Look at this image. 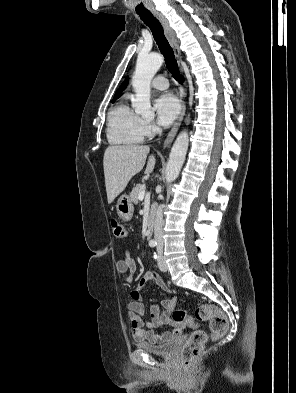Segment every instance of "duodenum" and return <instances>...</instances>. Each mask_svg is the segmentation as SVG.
<instances>
[{
  "mask_svg": "<svg viewBox=\"0 0 296 393\" xmlns=\"http://www.w3.org/2000/svg\"><path fill=\"white\" fill-rule=\"evenodd\" d=\"M154 215H155V207H152L149 212V220H148V228H147V237L150 238L153 235L154 231Z\"/></svg>",
  "mask_w": 296,
  "mask_h": 393,
  "instance_id": "1",
  "label": "duodenum"
}]
</instances>
